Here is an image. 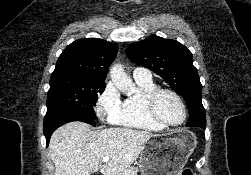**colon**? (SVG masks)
<instances>
[{"mask_svg": "<svg viewBox=\"0 0 251 175\" xmlns=\"http://www.w3.org/2000/svg\"><path fill=\"white\" fill-rule=\"evenodd\" d=\"M181 175H197L190 167H186L182 170Z\"/></svg>", "mask_w": 251, "mask_h": 175, "instance_id": "obj_1", "label": "colon"}]
</instances>
